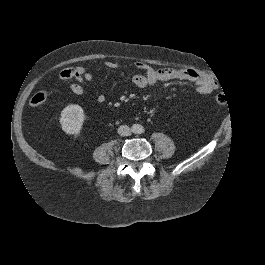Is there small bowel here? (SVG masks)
Listing matches in <instances>:
<instances>
[{"label": "small bowel", "mask_w": 265, "mask_h": 265, "mask_svg": "<svg viewBox=\"0 0 265 265\" xmlns=\"http://www.w3.org/2000/svg\"><path fill=\"white\" fill-rule=\"evenodd\" d=\"M107 69H120L122 63L118 60H110L104 63ZM134 66L141 70L142 73H136L132 76V82L136 87L145 88L156 84L157 82L183 80L193 82L197 86V92L200 94H210L217 89V82L208 75L192 69H174L160 68L154 69L145 63L135 62ZM76 75L73 77L74 82L69 85L70 91L75 95H83L85 86L93 81L92 73L88 72L85 67H77ZM123 75V72H120ZM97 101L103 103L105 96L97 95Z\"/></svg>", "instance_id": "1"}]
</instances>
